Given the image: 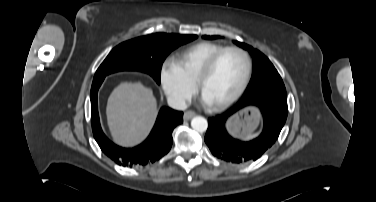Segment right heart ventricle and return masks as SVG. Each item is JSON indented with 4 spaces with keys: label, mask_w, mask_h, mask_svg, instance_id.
I'll use <instances>...</instances> for the list:
<instances>
[{
    "label": "right heart ventricle",
    "mask_w": 376,
    "mask_h": 202,
    "mask_svg": "<svg viewBox=\"0 0 376 202\" xmlns=\"http://www.w3.org/2000/svg\"><path fill=\"white\" fill-rule=\"evenodd\" d=\"M223 48L224 46L218 43L209 41L199 42L177 52L173 60L180 67L184 76L192 83H195L203 65Z\"/></svg>",
    "instance_id": "e07e8e85"
}]
</instances>
